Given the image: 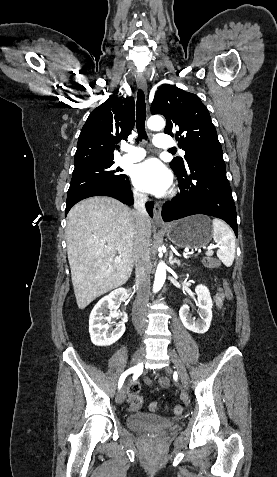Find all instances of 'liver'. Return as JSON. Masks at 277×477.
<instances>
[{
	"mask_svg": "<svg viewBox=\"0 0 277 477\" xmlns=\"http://www.w3.org/2000/svg\"><path fill=\"white\" fill-rule=\"evenodd\" d=\"M67 254L80 309L129 279L134 262L133 211L110 197H91L67 215ZM151 242V223L148 225ZM120 258H116V254Z\"/></svg>",
	"mask_w": 277,
	"mask_h": 477,
	"instance_id": "1",
	"label": "liver"
}]
</instances>
